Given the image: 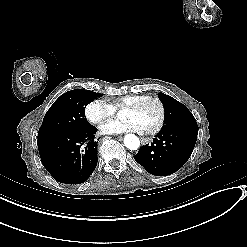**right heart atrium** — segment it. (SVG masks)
<instances>
[{
    "label": "right heart atrium",
    "instance_id": "right-heart-atrium-1",
    "mask_svg": "<svg viewBox=\"0 0 247 247\" xmlns=\"http://www.w3.org/2000/svg\"><path fill=\"white\" fill-rule=\"evenodd\" d=\"M114 114V106L102 99L94 98L84 107V115L92 124H101Z\"/></svg>",
    "mask_w": 247,
    "mask_h": 247
}]
</instances>
